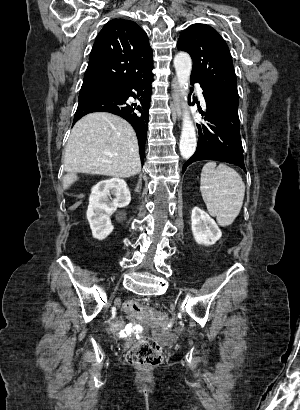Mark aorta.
<instances>
[{"label": "aorta", "mask_w": 300, "mask_h": 410, "mask_svg": "<svg viewBox=\"0 0 300 410\" xmlns=\"http://www.w3.org/2000/svg\"><path fill=\"white\" fill-rule=\"evenodd\" d=\"M174 67L176 71L178 84L180 87V92L186 100V90L188 88V81L190 79V74L192 70V60L190 55L186 52L177 53L174 57ZM186 106L187 103H184V107ZM196 146L197 139L195 127L193 125L189 113L185 111L183 116V125L179 144L181 156L185 159L190 158L195 153Z\"/></svg>", "instance_id": "obj_1"}]
</instances>
